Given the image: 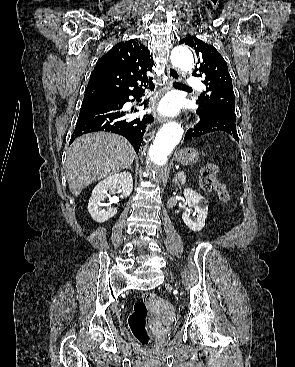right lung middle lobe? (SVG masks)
<instances>
[{"instance_id":"1","label":"right lung middle lobe","mask_w":295,"mask_h":367,"mask_svg":"<svg viewBox=\"0 0 295 367\" xmlns=\"http://www.w3.org/2000/svg\"><path fill=\"white\" fill-rule=\"evenodd\" d=\"M117 96L101 89H86L84 98L89 97H112Z\"/></svg>"}]
</instances>
